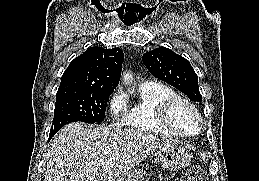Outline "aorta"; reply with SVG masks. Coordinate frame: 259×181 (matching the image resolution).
I'll use <instances>...</instances> for the list:
<instances>
[{
  "instance_id": "1",
  "label": "aorta",
  "mask_w": 259,
  "mask_h": 181,
  "mask_svg": "<svg viewBox=\"0 0 259 181\" xmlns=\"http://www.w3.org/2000/svg\"><path fill=\"white\" fill-rule=\"evenodd\" d=\"M123 78L125 80H129L131 78V74L129 72L128 73H124Z\"/></svg>"
}]
</instances>
